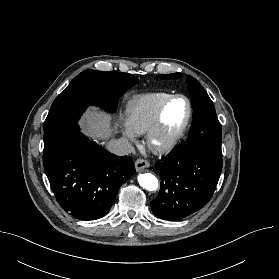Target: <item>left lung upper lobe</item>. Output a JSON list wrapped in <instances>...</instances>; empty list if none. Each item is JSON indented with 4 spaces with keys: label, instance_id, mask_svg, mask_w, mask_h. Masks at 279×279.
<instances>
[{
    "label": "left lung upper lobe",
    "instance_id": "obj_1",
    "mask_svg": "<svg viewBox=\"0 0 279 279\" xmlns=\"http://www.w3.org/2000/svg\"><path fill=\"white\" fill-rule=\"evenodd\" d=\"M162 79L180 78L179 73L159 75ZM187 84L193 107V122L186 143L205 148L217 155L221 153V126L217 119L213 102L202 85L191 75L187 77Z\"/></svg>",
    "mask_w": 279,
    "mask_h": 279
}]
</instances>
